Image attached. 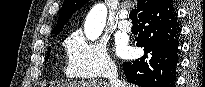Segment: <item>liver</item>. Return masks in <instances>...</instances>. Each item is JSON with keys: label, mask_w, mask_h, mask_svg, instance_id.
<instances>
[{"label": "liver", "mask_w": 205, "mask_h": 87, "mask_svg": "<svg viewBox=\"0 0 205 87\" xmlns=\"http://www.w3.org/2000/svg\"><path fill=\"white\" fill-rule=\"evenodd\" d=\"M56 87H110L109 83L104 81H75V82H69L65 84H59Z\"/></svg>", "instance_id": "obj_1"}]
</instances>
